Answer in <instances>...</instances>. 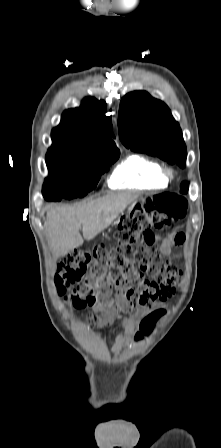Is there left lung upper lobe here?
<instances>
[{
  "label": "left lung upper lobe",
  "instance_id": "obj_1",
  "mask_svg": "<svg viewBox=\"0 0 221 448\" xmlns=\"http://www.w3.org/2000/svg\"><path fill=\"white\" fill-rule=\"evenodd\" d=\"M118 130L127 148L185 167L187 150L178 122L165 103L147 92L135 91L122 98Z\"/></svg>",
  "mask_w": 221,
  "mask_h": 448
}]
</instances>
